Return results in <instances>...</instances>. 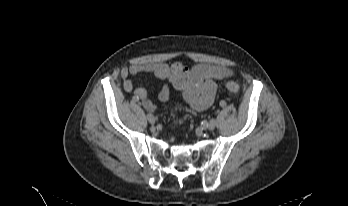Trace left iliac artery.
I'll use <instances>...</instances> for the list:
<instances>
[{
  "mask_svg": "<svg viewBox=\"0 0 348 206\" xmlns=\"http://www.w3.org/2000/svg\"><path fill=\"white\" fill-rule=\"evenodd\" d=\"M219 106H221L222 108H225L227 106L226 101H219Z\"/></svg>",
  "mask_w": 348,
  "mask_h": 206,
  "instance_id": "left-iliac-artery-1",
  "label": "left iliac artery"
}]
</instances>
